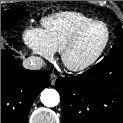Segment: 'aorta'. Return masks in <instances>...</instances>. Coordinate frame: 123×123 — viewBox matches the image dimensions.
Returning a JSON list of instances; mask_svg holds the SVG:
<instances>
[{
	"label": "aorta",
	"mask_w": 123,
	"mask_h": 123,
	"mask_svg": "<svg viewBox=\"0 0 123 123\" xmlns=\"http://www.w3.org/2000/svg\"><path fill=\"white\" fill-rule=\"evenodd\" d=\"M40 99L44 106L55 107L60 101V96L55 89H45L41 92Z\"/></svg>",
	"instance_id": "obj_1"
}]
</instances>
